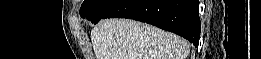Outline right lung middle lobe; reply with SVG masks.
Segmentation results:
<instances>
[{
  "label": "right lung middle lobe",
  "mask_w": 261,
  "mask_h": 59,
  "mask_svg": "<svg viewBox=\"0 0 261 59\" xmlns=\"http://www.w3.org/2000/svg\"><path fill=\"white\" fill-rule=\"evenodd\" d=\"M113 0H85L80 8L82 18L90 17L97 14Z\"/></svg>",
  "instance_id": "dd1d6c3e"
}]
</instances>
